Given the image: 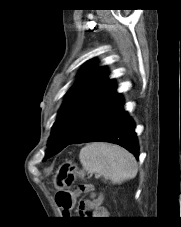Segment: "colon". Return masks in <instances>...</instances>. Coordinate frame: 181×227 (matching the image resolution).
<instances>
[{"mask_svg":"<svg viewBox=\"0 0 181 227\" xmlns=\"http://www.w3.org/2000/svg\"><path fill=\"white\" fill-rule=\"evenodd\" d=\"M93 188L89 184H78L73 191H60L56 195L58 205L63 209L65 214L74 208L75 200L78 196L92 191Z\"/></svg>","mask_w":181,"mask_h":227,"instance_id":"colon-1","label":"colon"}]
</instances>
